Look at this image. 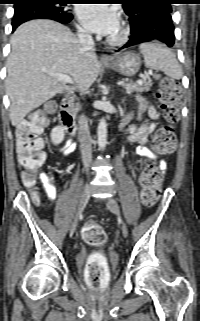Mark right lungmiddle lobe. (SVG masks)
<instances>
[{
  "mask_svg": "<svg viewBox=\"0 0 200 321\" xmlns=\"http://www.w3.org/2000/svg\"><path fill=\"white\" fill-rule=\"evenodd\" d=\"M69 0H29L23 2L24 5H16L15 8L22 7V6H43L48 7L50 9L55 10L56 12H70V10L66 9L65 6Z\"/></svg>",
  "mask_w": 200,
  "mask_h": 321,
  "instance_id": "1",
  "label": "right lung middle lobe"
}]
</instances>
